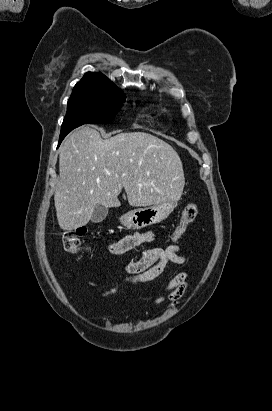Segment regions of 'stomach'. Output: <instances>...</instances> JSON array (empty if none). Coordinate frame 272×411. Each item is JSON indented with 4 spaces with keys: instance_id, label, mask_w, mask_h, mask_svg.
I'll return each instance as SVG.
<instances>
[{
    "instance_id": "1",
    "label": "stomach",
    "mask_w": 272,
    "mask_h": 411,
    "mask_svg": "<svg viewBox=\"0 0 272 411\" xmlns=\"http://www.w3.org/2000/svg\"><path fill=\"white\" fill-rule=\"evenodd\" d=\"M178 198L168 200L150 207L134 209L124 215L119 220L126 228L141 229L165 220L176 207Z\"/></svg>"
}]
</instances>
